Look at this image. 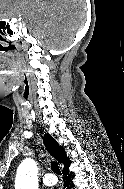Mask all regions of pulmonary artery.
<instances>
[{"label": "pulmonary artery", "instance_id": "1", "mask_svg": "<svg viewBox=\"0 0 124 189\" xmlns=\"http://www.w3.org/2000/svg\"><path fill=\"white\" fill-rule=\"evenodd\" d=\"M57 177L52 173H47L42 177V182L46 186H53L57 184Z\"/></svg>", "mask_w": 124, "mask_h": 189}]
</instances>
